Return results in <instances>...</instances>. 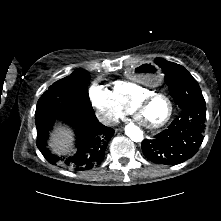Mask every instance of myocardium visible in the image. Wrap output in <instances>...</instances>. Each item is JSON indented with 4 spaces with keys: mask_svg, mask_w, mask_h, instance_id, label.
<instances>
[{
    "mask_svg": "<svg viewBox=\"0 0 221 221\" xmlns=\"http://www.w3.org/2000/svg\"><path fill=\"white\" fill-rule=\"evenodd\" d=\"M158 97L164 98L169 103L168 115L162 121H160L158 123H148V122L144 121V119L142 117L143 109H144V107H146L148 105V103L151 100H153L154 98H158ZM133 110L135 112L136 118L139 120L141 125H143L144 127L148 128V129H158V128L165 126L172 119V117L174 115V111H175V106H174L173 100L167 94L161 93V92H152V93L140 98L133 105Z\"/></svg>",
    "mask_w": 221,
    "mask_h": 221,
    "instance_id": "obj_1",
    "label": "myocardium"
}]
</instances>
